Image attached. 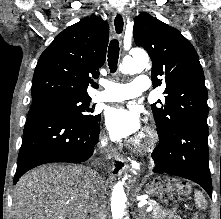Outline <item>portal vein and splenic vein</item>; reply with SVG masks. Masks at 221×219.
<instances>
[{
    "label": "portal vein and splenic vein",
    "instance_id": "18ae733b",
    "mask_svg": "<svg viewBox=\"0 0 221 219\" xmlns=\"http://www.w3.org/2000/svg\"><path fill=\"white\" fill-rule=\"evenodd\" d=\"M145 203L144 202H141L140 204H139V206H142V205H144ZM152 210V206H149L147 209H146V212H150Z\"/></svg>",
    "mask_w": 221,
    "mask_h": 219
}]
</instances>
